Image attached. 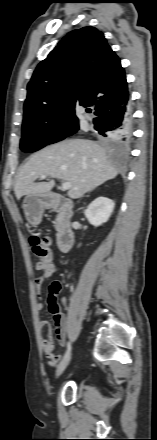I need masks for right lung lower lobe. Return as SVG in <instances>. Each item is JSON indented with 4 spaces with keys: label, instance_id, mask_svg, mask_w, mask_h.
<instances>
[{
    "label": "right lung lower lobe",
    "instance_id": "1",
    "mask_svg": "<svg viewBox=\"0 0 157 440\" xmlns=\"http://www.w3.org/2000/svg\"><path fill=\"white\" fill-rule=\"evenodd\" d=\"M94 118V129L102 137H110L114 142H129L132 131V118L129 96L108 104Z\"/></svg>",
    "mask_w": 157,
    "mask_h": 440
}]
</instances>
